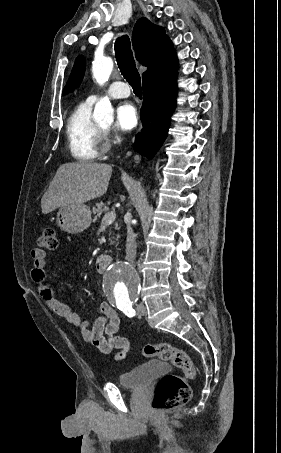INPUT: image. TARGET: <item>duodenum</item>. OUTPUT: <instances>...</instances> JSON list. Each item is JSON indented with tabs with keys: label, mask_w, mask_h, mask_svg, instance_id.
Returning <instances> with one entry per match:
<instances>
[{
	"label": "duodenum",
	"mask_w": 281,
	"mask_h": 453,
	"mask_svg": "<svg viewBox=\"0 0 281 453\" xmlns=\"http://www.w3.org/2000/svg\"><path fill=\"white\" fill-rule=\"evenodd\" d=\"M112 263V258L108 254H101L97 257L96 267L98 272L104 273Z\"/></svg>",
	"instance_id": "duodenum-1"
}]
</instances>
